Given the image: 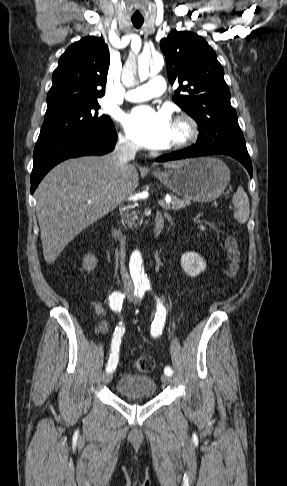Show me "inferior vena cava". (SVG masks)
Wrapping results in <instances>:
<instances>
[{"label":"inferior vena cava","instance_id":"inferior-vena-cava-1","mask_svg":"<svg viewBox=\"0 0 287 486\" xmlns=\"http://www.w3.org/2000/svg\"><path fill=\"white\" fill-rule=\"evenodd\" d=\"M137 150L138 145L120 136L114 151L110 154L113 165L121 172H123L128 162L134 160ZM125 255V248L123 246L120 250L122 281L126 290H132L133 285L125 267Z\"/></svg>","mask_w":287,"mask_h":486}]
</instances>
